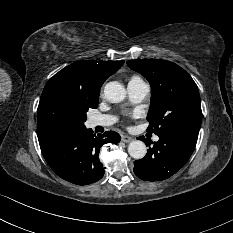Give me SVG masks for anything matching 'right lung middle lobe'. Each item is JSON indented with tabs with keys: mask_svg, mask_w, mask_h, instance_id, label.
Wrapping results in <instances>:
<instances>
[{
	"mask_svg": "<svg viewBox=\"0 0 233 233\" xmlns=\"http://www.w3.org/2000/svg\"><path fill=\"white\" fill-rule=\"evenodd\" d=\"M97 96H86L61 84H46L37 110V129L82 128L89 108L98 107Z\"/></svg>",
	"mask_w": 233,
	"mask_h": 233,
	"instance_id": "right-lung-middle-lobe-1",
	"label": "right lung middle lobe"
}]
</instances>
